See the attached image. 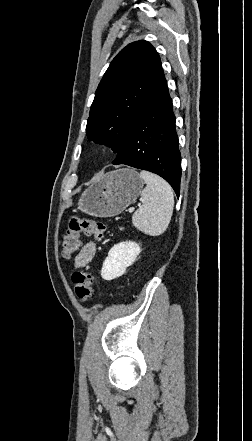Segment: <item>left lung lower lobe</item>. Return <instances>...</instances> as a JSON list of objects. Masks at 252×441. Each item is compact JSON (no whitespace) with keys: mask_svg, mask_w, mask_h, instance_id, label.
Returning <instances> with one entry per match:
<instances>
[{"mask_svg":"<svg viewBox=\"0 0 252 441\" xmlns=\"http://www.w3.org/2000/svg\"><path fill=\"white\" fill-rule=\"evenodd\" d=\"M175 120L160 61L145 102L112 164H125L158 174L179 196L181 154Z\"/></svg>","mask_w":252,"mask_h":441,"instance_id":"left-lung-lower-lobe-1","label":"left lung lower lobe"}]
</instances>
